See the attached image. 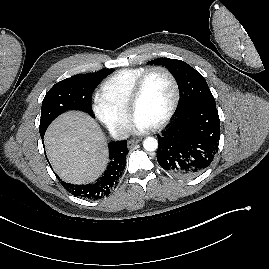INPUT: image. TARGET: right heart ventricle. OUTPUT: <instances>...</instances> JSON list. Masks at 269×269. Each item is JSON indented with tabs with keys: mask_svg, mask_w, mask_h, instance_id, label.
Masks as SVG:
<instances>
[{
	"mask_svg": "<svg viewBox=\"0 0 269 269\" xmlns=\"http://www.w3.org/2000/svg\"><path fill=\"white\" fill-rule=\"evenodd\" d=\"M148 67L124 68L111 75L101 87V94L115 106L128 110L136 81Z\"/></svg>",
	"mask_w": 269,
	"mask_h": 269,
	"instance_id": "right-heart-ventricle-1",
	"label": "right heart ventricle"
}]
</instances>
